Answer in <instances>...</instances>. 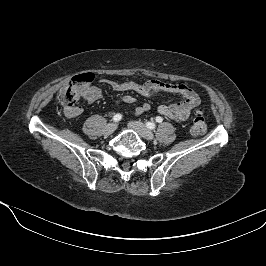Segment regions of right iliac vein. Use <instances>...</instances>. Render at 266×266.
Wrapping results in <instances>:
<instances>
[{
  "label": "right iliac vein",
  "mask_w": 266,
  "mask_h": 266,
  "mask_svg": "<svg viewBox=\"0 0 266 266\" xmlns=\"http://www.w3.org/2000/svg\"><path fill=\"white\" fill-rule=\"evenodd\" d=\"M116 128H117V124L116 123H109L104 129V133L106 135H110L116 130Z\"/></svg>",
  "instance_id": "obj_1"
}]
</instances>
